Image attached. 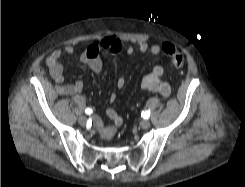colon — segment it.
<instances>
[{
	"instance_id": "1",
	"label": "colon",
	"mask_w": 245,
	"mask_h": 187,
	"mask_svg": "<svg viewBox=\"0 0 245 187\" xmlns=\"http://www.w3.org/2000/svg\"><path fill=\"white\" fill-rule=\"evenodd\" d=\"M164 53L170 58L172 65L179 70H182L185 64L184 55L178 51L172 44L165 43L163 45Z\"/></svg>"
}]
</instances>
